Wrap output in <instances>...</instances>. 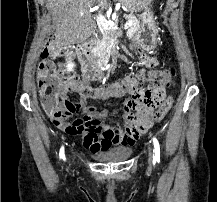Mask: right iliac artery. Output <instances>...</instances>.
Masks as SVG:
<instances>
[{"mask_svg":"<svg viewBox=\"0 0 217 202\" xmlns=\"http://www.w3.org/2000/svg\"><path fill=\"white\" fill-rule=\"evenodd\" d=\"M59 156H60V158H62L63 160H65V154H64V147L63 146L60 149Z\"/></svg>","mask_w":217,"mask_h":202,"instance_id":"1","label":"right iliac artery"}]
</instances>
